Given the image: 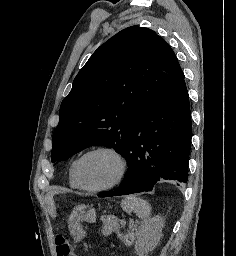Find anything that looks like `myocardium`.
<instances>
[{
  "label": "myocardium",
  "instance_id": "f54148a6",
  "mask_svg": "<svg viewBox=\"0 0 236 256\" xmlns=\"http://www.w3.org/2000/svg\"><path fill=\"white\" fill-rule=\"evenodd\" d=\"M98 152H108V153L113 154L119 163V172H118L117 176L115 177V179L113 181H111L110 183L100 186V187H89L85 184L83 177H82V173H81L82 163H83V160L88 155L98 153ZM127 170H128V163H127L126 156L119 148H117L113 145H100V146H97V147L87 150L79 157L77 164H76L75 173H76L77 181L82 189H84L88 192H91V193H98V192H104V191L110 190V189L116 187L117 185H119L125 178Z\"/></svg>",
  "mask_w": 236,
  "mask_h": 256
}]
</instances>
